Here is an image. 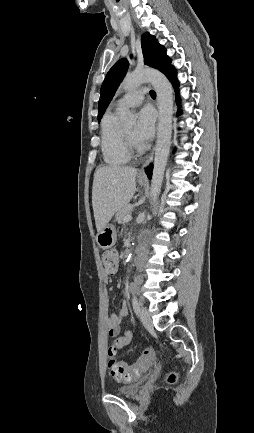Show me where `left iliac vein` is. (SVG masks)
Instances as JSON below:
<instances>
[{
  "mask_svg": "<svg viewBox=\"0 0 254 433\" xmlns=\"http://www.w3.org/2000/svg\"><path fill=\"white\" fill-rule=\"evenodd\" d=\"M140 319L145 328L147 329L152 328L153 325H152L151 317L148 311L146 310V308L143 306L140 308Z\"/></svg>",
  "mask_w": 254,
  "mask_h": 433,
  "instance_id": "4c4485c4",
  "label": "left iliac vein"
}]
</instances>
